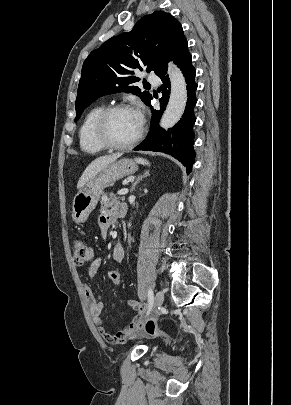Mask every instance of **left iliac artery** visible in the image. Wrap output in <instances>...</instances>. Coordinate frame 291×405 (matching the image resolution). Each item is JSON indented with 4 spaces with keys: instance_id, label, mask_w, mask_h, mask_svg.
<instances>
[{
    "instance_id": "obj_1",
    "label": "left iliac artery",
    "mask_w": 291,
    "mask_h": 405,
    "mask_svg": "<svg viewBox=\"0 0 291 405\" xmlns=\"http://www.w3.org/2000/svg\"><path fill=\"white\" fill-rule=\"evenodd\" d=\"M153 301H154L153 290L149 289L148 290V311H147V315L149 314L150 310L152 309Z\"/></svg>"
}]
</instances>
